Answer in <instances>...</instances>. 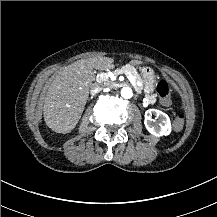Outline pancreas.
<instances>
[{
  "mask_svg": "<svg viewBox=\"0 0 217 217\" xmlns=\"http://www.w3.org/2000/svg\"><path fill=\"white\" fill-rule=\"evenodd\" d=\"M122 67H123V69H126V70L130 71L136 77V79H135L136 82L137 81H139V82L142 81L141 77L136 73V71L134 69H132V65H130V64L129 65L126 64L124 66H121V67L117 68L116 72H119L120 70H122Z\"/></svg>",
  "mask_w": 217,
  "mask_h": 217,
  "instance_id": "obj_1",
  "label": "pancreas"
}]
</instances>
